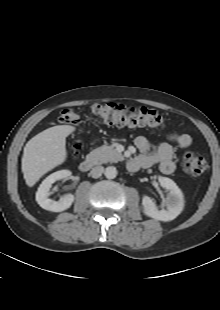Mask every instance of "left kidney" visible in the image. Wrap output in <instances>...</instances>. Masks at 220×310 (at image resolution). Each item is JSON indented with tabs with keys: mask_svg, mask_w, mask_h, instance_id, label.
I'll use <instances>...</instances> for the list:
<instances>
[{
	"mask_svg": "<svg viewBox=\"0 0 220 310\" xmlns=\"http://www.w3.org/2000/svg\"><path fill=\"white\" fill-rule=\"evenodd\" d=\"M160 185L166 189L169 194L166 198L167 210H158L148 196H143L142 205L145 215L160 221H171L175 219L183 208L184 196L176 183L167 177L160 176L158 178Z\"/></svg>",
	"mask_w": 220,
	"mask_h": 310,
	"instance_id": "obj_1",
	"label": "left kidney"
}]
</instances>
